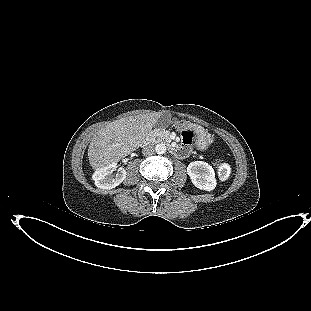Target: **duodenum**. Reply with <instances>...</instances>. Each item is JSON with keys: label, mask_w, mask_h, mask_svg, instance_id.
Returning a JSON list of instances; mask_svg holds the SVG:
<instances>
[{"label": "duodenum", "mask_w": 311, "mask_h": 311, "mask_svg": "<svg viewBox=\"0 0 311 311\" xmlns=\"http://www.w3.org/2000/svg\"><path fill=\"white\" fill-rule=\"evenodd\" d=\"M170 153L175 155V156H179L180 154L184 153V149L183 148L170 147Z\"/></svg>", "instance_id": "1"}]
</instances>
